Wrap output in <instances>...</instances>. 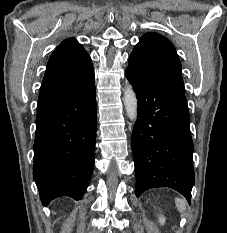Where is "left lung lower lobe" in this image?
<instances>
[{"instance_id":"0a47b994","label":"left lung lower lobe","mask_w":227,"mask_h":233,"mask_svg":"<svg viewBox=\"0 0 227 233\" xmlns=\"http://www.w3.org/2000/svg\"><path fill=\"white\" fill-rule=\"evenodd\" d=\"M125 75L138 98L131 137L136 195L170 187L191 201L195 175L190 117L185 95L154 85L132 72Z\"/></svg>"}]
</instances>
